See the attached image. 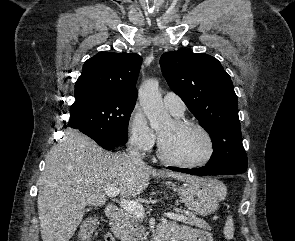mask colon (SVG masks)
I'll list each match as a JSON object with an SVG mask.
<instances>
[{
  "label": "colon",
  "mask_w": 295,
  "mask_h": 241,
  "mask_svg": "<svg viewBox=\"0 0 295 241\" xmlns=\"http://www.w3.org/2000/svg\"><path fill=\"white\" fill-rule=\"evenodd\" d=\"M97 228V220L94 218L86 219L80 229L79 237L82 241H90Z\"/></svg>",
  "instance_id": "5ec220e1"
}]
</instances>
